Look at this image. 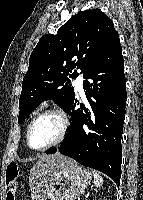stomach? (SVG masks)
Returning <instances> with one entry per match:
<instances>
[{
    "mask_svg": "<svg viewBox=\"0 0 143 200\" xmlns=\"http://www.w3.org/2000/svg\"><path fill=\"white\" fill-rule=\"evenodd\" d=\"M91 179L86 168L75 162L67 164L53 174L43 200H75L84 193Z\"/></svg>",
    "mask_w": 143,
    "mask_h": 200,
    "instance_id": "0dacf381",
    "label": "stomach"
}]
</instances>
